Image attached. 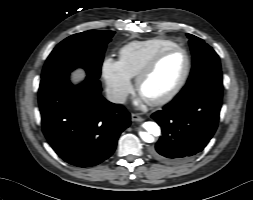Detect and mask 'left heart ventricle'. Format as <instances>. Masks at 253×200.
I'll return each mask as SVG.
<instances>
[{"mask_svg": "<svg viewBox=\"0 0 253 200\" xmlns=\"http://www.w3.org/2000/svg\"><path fill=\"white\" fill-rule=\"evenodd\" d=\"M185 68L186 58L182 52L168 54L142 82L139 93L146 100H155L165 96L178 84Z\"/></svg>", "mask_w": 253, "mask_h": 200, "instance_id": "1", "label": "left heart ventricle"}]
</instances>
